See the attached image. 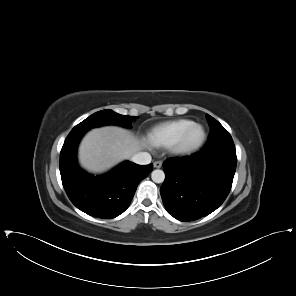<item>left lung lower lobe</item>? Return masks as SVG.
<instances>
[{"instance_id": "left-lung-lower-lobe-1", "label": "left lung lower lobe", "mask_w": 296, "mask_h": 296, "mask_svg": "<svg viewBox=\"0 0 296 296\" xmlns=\"http://www.w3.org/2000/svg\"><path fill=\"white\" fill-rule=\"evenodd\" d=\"M236 164V151L167 159L160 193L168 213L180 221L212 213L230 192Z\"/></svg>"}]
</instances>
